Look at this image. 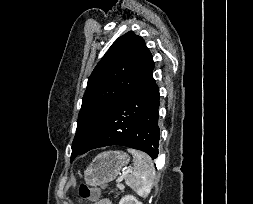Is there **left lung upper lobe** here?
Here are the masks:
<instances>
[{"instance_id":"5c2ea615","label":"left lung upper lobe","mask_w":253,"mask_h":204,"mask_svg":"<svg viewBox=\"0 0 253 204\" xmlns=\"http://www.w3.org/2000/svg\"><path fill=\"white\" fill-rule=\"evenodd\" d=\"M153 64L142 37H119L94 68L87 83L72 143L71 162L87 146L99 123L139 85Z\"/></svg>"}]
</instances>
